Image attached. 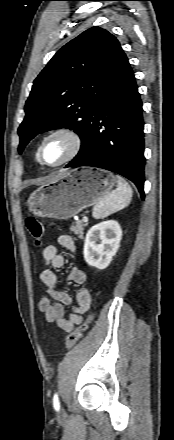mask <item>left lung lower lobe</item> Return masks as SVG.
Returning <instances> with one entry per match:
<instances>
[{
  "mask_svg": "<svg viewBox=\"0 0 174 440\" xmlns=\"http://www.w3.org/2000/svg\"><path fill=\"white\" fill-rule=\"evenodd\" d=\"M142 111L134 73L123 53L92 104L81 150L66 167L93 166L116 172L131 180L144 199Z\"/></svg>",
  "mask_w": 174,
  "mask_h": 440,
  "instance_id": "1",
  "label": "left lung lower lobe"
}]
</instances>
